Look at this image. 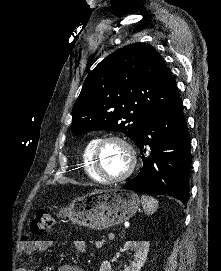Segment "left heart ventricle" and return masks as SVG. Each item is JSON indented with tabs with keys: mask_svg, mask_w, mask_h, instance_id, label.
<instances>
[{
	"mask_svg": "<svg viewBox=\"0 0 221 271\" xmlns=\"http://www.w3.org/2000/svg\"><path fill=\"white\" fill-rule=\"evenodd\" d=\"M103 141H120L108 139ZM100 158L97 163L104 166L105 172L111 177H121L124 169H127L126 161H124L125 152H120L119 144H104L100 149Z\"/></svg>",
	"mask_w": 221,
	"mask_h": 271,
	"instance_id": "1",
	"label": "left heart ventricle"
}]
</instances>
